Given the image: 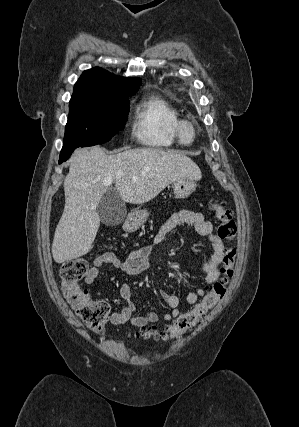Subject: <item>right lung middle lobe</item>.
Here are the masks:
<instances>
[{
  "instance_id": "obj_1",
  "label": "right lung middle lobe",
  "mask_w": 299,
  "mask_h": 427,
  "mask_svg": "<svg viewBox=\"0 0 299 427\" xmlns=\"http://www.w3.org/2000/svg\"><path fill=\"white\" fill-rule=\"evenodd\" d=\"M128 103V97L70 101L61 153L109 141L124 128Z\"/></svg>"
}]
</instances>
